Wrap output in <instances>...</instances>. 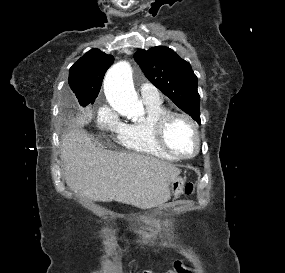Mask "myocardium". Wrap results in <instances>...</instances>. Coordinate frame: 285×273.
<instances>
[{
    "instance_id": "myocardium-1",
    "label": "myocardium",
    "mask_w": 285,
    "mask_h": 273,
    "mask_svg": "<svg viewBox=\"0 0 285 273\" xmlns=\"http://www.w3.org/2000/svg\"><path fill=\"white\" fill-rule=\"evenodd\" d=\"M175 118H182L185 120L189 126L191 127L194 136H195V149L190 154H184L181 152H177L174 150L168 143L166 138V131L167 127L170 124V122ZM155 134L156 138L159 142V144L169 153L174 155L177 158H191L194 157L196 154H198L200 147H201V136L200 131L197 123L195 120L189 116L188 114L180 111H168L162 116H160L156 123H155Z\"/></svg>"
}]
</instances>
